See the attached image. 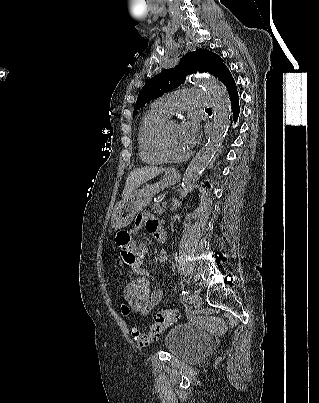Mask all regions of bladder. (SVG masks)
<instances>
[{"instance_id":"obj_1","label":"bladder","mask_w":319,"mask_h":403,"mask_svg":"<svg viewBox=\"0 0 319 403\" xmlns=\"http://www.w3.org/2000/svg\"><path fill=\"white\" fill-rule=\"evenodd\" d=\"M163 342L171 357L192 363L204 357L210 345V338L195 326L179 324L168 330Z\"/></svg>"}]
</instances>
